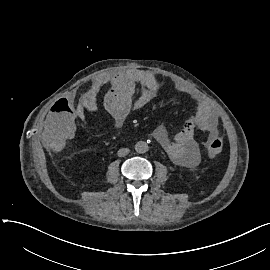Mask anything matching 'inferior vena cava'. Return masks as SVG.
Returning a JSON list of instances; mask_svg holds the SVG:
<instances>
[{
    "label": "inferior vena cava",
    "instance_id": "inferior-vena-cava-1",
    "mask_svg": "<svg viewBox=\"0 0 270 270\" xmlns=\"http://www.w3.org/2000/svg\"><path fill=\"white\" fill-rule=\"evenodd\" d=\"M128 153H129V149H128V148H122V149H119V150H118L117 155H118L119 157H124V156H126Z\"/></svg>",
    "mask_w": 270,
    "mask_h": 270
}]
</instances>
